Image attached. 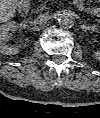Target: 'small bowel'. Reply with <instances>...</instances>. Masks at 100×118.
I'll list each match as a JSON object with an SVG mask.
<instances>
[{"label":"small bowel","instance_id":"1","mask_svg":"<svg viewBox=\"0 0 100 118\" xmlns=\"http://www.w3.org/2000/svg\"><path fill=\"white\" fill-rule=\"evenodd\" d=\"M78 1H79V6H80V7L83 6L84 0H78Z\"/></svg>","mask_w":100,"mask_h":118}]
</instances>
